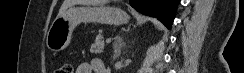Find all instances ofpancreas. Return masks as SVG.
Here are the masks:
<instances>
[{"label":"pancreas","mask_w":244,"mask_h":73,"mask_svg":"<svg viewBox=\"0 0 244 73\" xmlns=\"http://www.w3.org/2000/svg\"><path fill=\"white\" fill-rule=\"evenodd\" d=\"M103 51H104V41H103V37L99 34L96 37L95 42L91 45L90 52L100 55L101 53H103Z\"/></svg>","instance_id":"1"}]
</instances>
